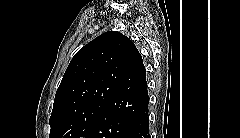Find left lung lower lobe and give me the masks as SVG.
<instances>
[{"label":"left lung lower lobe","instance_id":"0a47b994","mask_svg":"<svg viewBox=\"0 0 240 138\" xmlns=\"http://www.w3.org/2000/svg\"><path fill=\"white\" fill-rule=\"evenodd\" d=\"M89 138H149L146 70L141 54L93 126Z\"/></svg>","mask_w":240,"mask_h":138}]
</instances>
